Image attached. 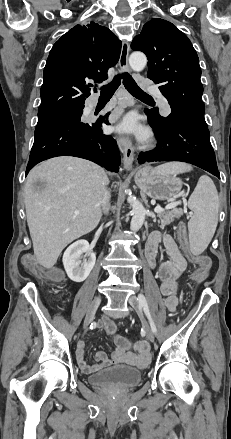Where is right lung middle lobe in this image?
<instances>
[{"label":"right lung middle lobe","instance_id":"obj_1","mask_svg":"<svg viewBox=\"0 0 231 439\" xmlns=\"http://www.w3.org/2000/svg\"><path fill=\"white\" fill-rule=\"evenodd\" d=\"M83 110L79 109V110H74V111H70V112H66V113H62L59 115H55L49 118H44V119H38V123H37V127L49 124V123H53V122H57V121H72V120H78L81 115H82Z\"/></svg>","mask_w":231,"mask_h":439}]
</instances>
